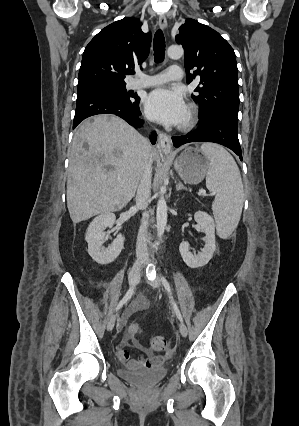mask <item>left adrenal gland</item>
Returning <instances> with one entry per match:
<instances>
[{"label": "left adrenal gland", "instance_id": "left-adrenal-gland-1", "mask_svg": "<svg viewBox=\"0 0 299 426\" xmlns=\"http://www.w3.org/2000/svg\"><path fill=\"white\" fill-rule=\"evenodd\" d=\"M176 190L177 191L187 190V188L180 181H178L177 184H176Z\"/></svg>", "mask_w": 299, "mask_h": 426}]
</instances>
